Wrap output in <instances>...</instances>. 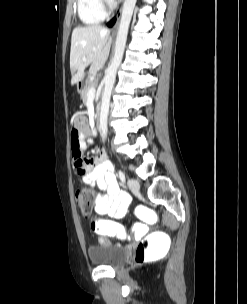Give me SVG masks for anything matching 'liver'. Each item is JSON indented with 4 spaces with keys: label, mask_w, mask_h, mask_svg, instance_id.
<instances>
[{
    "label": "liver",
    "mask_w": 247,
    "mask_h": 304,
    "mask_svg": "<svg viewBox=\"0 0 247 304\" xmlns=\"http://www.w3.org/2000/svg\"><path fill=\"white\" fill-rule=\"evenodd\" d=\"M110 45V32L102 26L89 25L76 27L73 30L70 50L72 85L84 78L85 69L89 65L91 75L103 68L109 56ZM84 57L86 60H83Z\"/></svg>",
    "instance_id": "obj_1"
}]
</instances>
